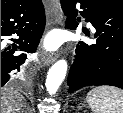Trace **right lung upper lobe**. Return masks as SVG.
Masks as SVG:
<instances>
[{
  "mask_svg": "<svg viewBox=\"0 0 123 113\" xmlns=\"http://www.w3.org/2000/svg\"><path fill=\"white\" fill-rule=\"evenodd\" d=\"M20 0H1V10L10 8Z\"/></svg>",
  "mask_w": 123,
  "mask_h": 113,
  "instance_id": "right-lung-upper-lobe-1",
  "label": "right lung upper lobe"
}]
</instances>
